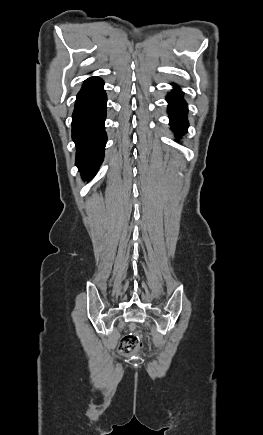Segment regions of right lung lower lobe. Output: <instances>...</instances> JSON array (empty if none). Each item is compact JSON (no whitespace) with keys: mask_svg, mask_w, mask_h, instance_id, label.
<instances>
[{"mask_svg":"<svg viewBox=\"0 0 263 435\" xmlns=\"http://www.w3.org/2000/svg\"><path fill=\"white\" fill-rule=\"evenodd\" d=\"M103 85L98 77L88 78L77 95L72 115V138L77 147L76 165L84 180L95 176L104 157L107 97Z\"/></svg>","mask_w":263,"mask_h":435,"instance_id":"1","label":"right lung lower lobe"}]
</instances>
